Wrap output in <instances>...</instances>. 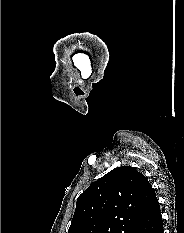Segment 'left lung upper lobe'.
Masks as SVG:
<instances>
[{
	"label": "left lung upper lobe",
	"mask_w": 184,
	"mask_h": 233,
	"mask_svg": "<svg viewBox=\"0 0 184 233\" xmlns=\"http://www.w3.org/2000/svg\"><path fill=\"white\" fill-rule=\"evenodd\" d=\"M154 194L134 167H117L78 197L68 233H134Z\"/></svg>",
	"instance_id": "obj_1"
}]
</instances>
